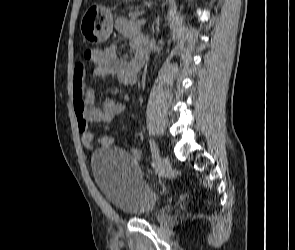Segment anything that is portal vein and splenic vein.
<instances>
[{
	"mask_svg": "<svg viewBox=\"0 0 295 250\" xmlns=\"http://www.w3.org/2000/svg\"><path fill=\"white\" fill-rule=\"evenodd\" d=\"M146 19H141L139 22H138V24L139 25H145L146 24Z\"/></svg>",
	"mask_w": 295,
	"mask_h": 250,
	"instance_id": "obj_1",
	"label": "portal vein and splenic vein"
}]
</instances>
